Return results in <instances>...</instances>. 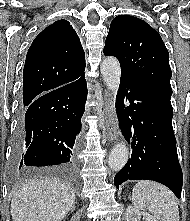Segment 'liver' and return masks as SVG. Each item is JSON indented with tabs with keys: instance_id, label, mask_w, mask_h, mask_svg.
<instances>
[{
	"instance_id": "6515ba94",
	"label": "liver",
	"mask_w": 190,
	"mask_h": 221,
	"mask_svg": "<svg viewBox=\"0 0 190 221\" xmlns=\"http://www.w3.org/2000/svg\"><path fill=\"white\" fill-rule=\"evenodd\" d=\"M75 201L74 188L57 178L29 180L18 186L11 201L13 221H61Z\"/></svg>"
}]
</instances>
